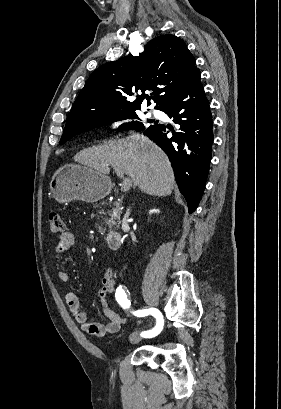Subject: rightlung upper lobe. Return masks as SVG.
<instances>
[{"label": "right lung upper lobe", "mask_w": 281, "mask_h": 409, "mask_svg": "<svg viewBox=\"0 0 281 409\" xmlns=\"http://www.w3.org/2000/svg\"><path fill=\"white\" fill-rule=\"evenodd\" d=\"M185 42L175 35H161L145 46L138 57H124L97 68L78 95L65 128L84 127L108 117L138 110L142 99L135 93L152 90L155 109L180 92L199 71ZM143 98V95H139ZM147 105H150L148 102Z\"/></svg>", "instance_id": "cb5924a9"}]
</instances>
